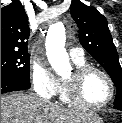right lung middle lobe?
Instances as JSON below:
<instances>
[{
	"instance_id": "obj_1",
	"label": "right lung middle lobe",
	"mask_w": 122,
	"mask_h": 123,
	"mask_svg": "<svg viewBox=\"0 0 122 123\" xmlns=\"http://www.w3.org/2000/svg\"><path fill=\"white\" fill-rule=\"evenodd\" d=\"M30 57L28 53L1 51V74L30 80Z\"/></svg>"
}]
</instances>
